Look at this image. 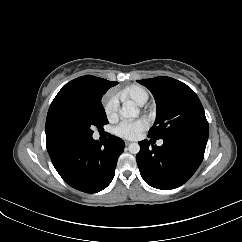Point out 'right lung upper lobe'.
I'll list each match as a JSON object with an SVG mask.
<instances>
[{
    "mask_svg": "<svg viewBox=\"0 0 242 242\" xmlns=\"http://www.w3.org/2000/svg\"><path fill=\"white\" fill-rule=\"evenodd\" d=\"M118 84V82H112L103 78L94 76H82L78 77L69 83H67L54 98L49 111L63 99H78V100H91L103 96L106 91ZM48 111V112H49ZM57 138L52 134L48 125L46 124V142Z\"/></svg>",
    "mask_w": 242,
    "mask_h": 242,
    "instance_id": "1",
    "label": "right lung upper lobe"
}]
</instances>
